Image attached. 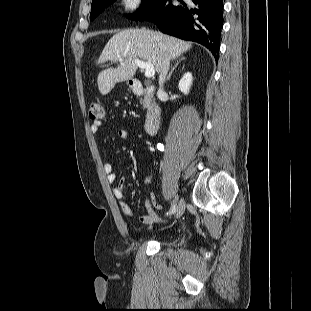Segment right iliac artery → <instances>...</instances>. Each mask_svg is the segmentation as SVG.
I'll return each instance as SVG.
<instances>
[{
    "mask_svg": "<svg viewBox=\"0 0 311 311\" xmlns=\"http://www.w3.org/2000/svg\"><path fill=\"white\" fill-rule=\"evenodd\" d=\"M158 149L162 150V149H163V146L158 147ZM175 211H176V204L173 202V204H172V206H171L169 212L167 213V215H168V214H169V215H170V214H173V213H175Z\"/></svg>",
    "mask_w": 311,
    "mask_h": 311,
    "instance_id": "1",
    "label": "right iliac artery"
}]
</instances>
